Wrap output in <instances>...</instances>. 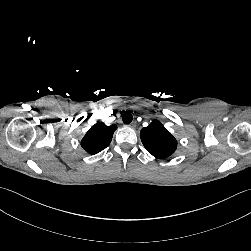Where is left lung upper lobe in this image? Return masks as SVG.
Here are the masks:
<instances>
[{"label": "left lung upper lobe", "mask_w": 251, "mask_h": 251, "mask_svg": "<svg viewBox=\"0 0 251 251\" xmlns=\"http://www.w3.org/2000/svg\"><path fill=\"white\" fill-rule=\"evenodd\" d=\"M144 147L155 157L167 158L177 148V141L171 133L157 120L141 129Z\"/></svg>", "instance_id": "5c2ea615"}]
</instances>
